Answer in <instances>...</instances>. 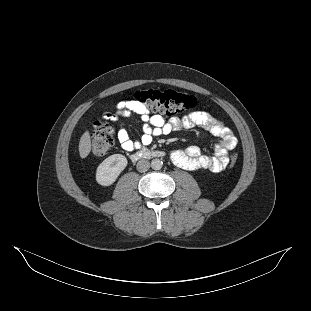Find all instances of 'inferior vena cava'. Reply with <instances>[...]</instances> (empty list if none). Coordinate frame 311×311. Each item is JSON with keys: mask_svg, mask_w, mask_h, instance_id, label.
Listing matches in <instances>:
<instances>
[{"mask_svg": "<svg viewBox=\"0 0 311 311\" xmlns=\"http://www.w3.org/2000/svg\"><path fill=\"white\" fill-rule=\"evenodd\" d=\"M136 167L139 172H146L150 168V162L146 159H141Z\"/></svg>", "mask_w": 311, "mask_h": 311, "instance_id": "obj_1", "label": "inferior vena cava"}]
</instances>
